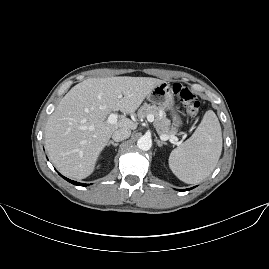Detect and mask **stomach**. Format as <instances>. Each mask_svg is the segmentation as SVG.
Returning <instances> with one entry per match:
<instances>
[{"label":"stomach","instance_id":"stomach-1","mask_svg":"<svg viewBox=\"0 0 269 269\" xmlns=\"http://www.w3.org/2000/svg\"><path fill=\"white\" fill-rule=\"evenodd\" d=\"M147 99L154 105L161 106L171 111L176 127L181 125L180 116L174 109V95L169 83L163 82L157 85L148 95Z\"/></svg>","mask_w":269,"mask_h":269}]
</instances>
